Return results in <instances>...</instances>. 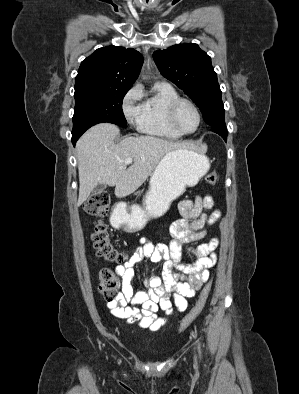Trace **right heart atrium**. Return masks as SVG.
Here are the masks:
<instances>
[{
	"label": "right heart atrium",
	"mask_w": 299,
	"mask_h": 394,
	"mask_svg": "<svg viewBox=\"0 0 299 394\" xmlns=\"http://www.w3.org/2000/svg\"><path fill=\"white\" fill-rule=\"evenodd\" d=\"M142 88L140 85L133 86L123 100V112L130 124L138 123L142 104Z\"/></svg>",
	"instance_id": "right-heart-atrium-1"
}]
</instances>
